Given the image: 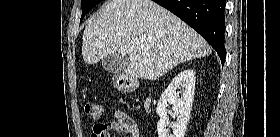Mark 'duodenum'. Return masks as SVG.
<instances>
[{"label":"duodenum","mask_w":280,"mask_h":137,"mask_svg":"<svg viewBox=\"0 0 280 137\" xmlns=\"http://www.w3.org/2000/svg\"><path fill=\"white\" fill-rule=\"evenodd\" d=\"M150 106H151V100L150 99H146L145 102H144V107L146 109H150Z\"/></svg>","instance_id":"410a0bca"}]
</instances>
